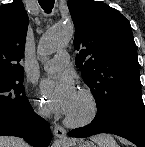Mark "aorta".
Wrapping results in <instances>:
<instances>
[{
  "label": "aorta",
  "mask_w": 145,
  "mask_h": 147,
  "mask_svg": "<svg viewBox=\"0 0 145 147\" xmlns=\"http://www.w3.org/2000/svg\"><path fill=\"white\" fill-rule=\"evenodd\" d=\"M73 25L71 23H59L48 29L42 36L38 52L40 56L52 54L61 47H64L71 39Z\"/></svg>",
  "instance_id": "1"
}]
</instances>
